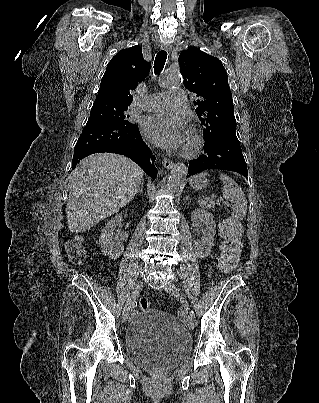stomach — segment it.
Instances as JSON below:
<instances>
[{"mask_svg": "<svg viewBox=\"0 0 319 403\" xmlns=\"http://www.w3.org/2000/svg\"><path fill=\"white\" fill-rule=\"evenodd\" d=\"M207 184V179L199 175L190 180V185L197 190L205 188Z\"/></svg>", "mask_w": 319, "mask_h": 403, "instance_id": "0dacf381", "label": "stomach"}]
</instances>
